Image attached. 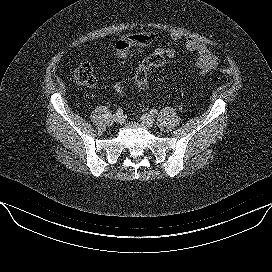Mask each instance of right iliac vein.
<instances>
[{
    "label": "right iliac vein",
    "mask_w": 272,
    "mask_h": 272,
    "mask_svg": "<svg viewBox=\"0 0 272 272\" xmlns=\"http://www.w3.org/2000/svg\"><path fill=\"white\" fill-rule=\"evenodd\" d=\"M113 121L115 122V123H122V121H123V117H122V115H119V114H114V116H113Z\"/></svg>",
    "instance_id": "63e3f726"
}]
</instances>
